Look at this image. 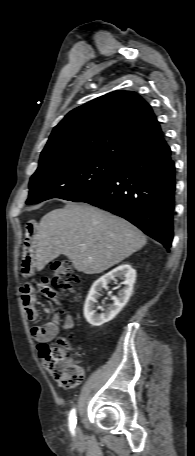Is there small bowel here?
I'll use <instances>...</instances> for the list:
<instances>
[{"instance_id":"c3829d8e","label":"small bowel","mask_w":195,"mask_h":456,"mask_svg":"<svg viewBox=\"0 0 195 456\" xmlns=\"http://www.w3.org/2000/svg\"><path fill=\"white\" fill-rule=\"evenodd\" d=\"M36 240V223L35 221L30 220L27 222L25 228V238L21 261V272L24 276H30L34 269V246ZM38 287L44 295L50 298H55V294L49 288L46 279H41L38 283ZM21 300L25 310L26 318L29 321H35L38 317V311L36 308L35 290L32 285L26 284L21 289ZM73 325L74 321L71 316H67L62 322H60L58 318H55L43 325L34 326L31 329V335L37 342L46 343L54 339L60 331L70 329L73 327Z\"/></svg>"}]
</instances>
